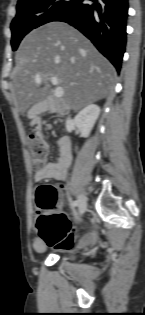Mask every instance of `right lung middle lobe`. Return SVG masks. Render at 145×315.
Listing matches in <instances>:
<instances>
[{
	"label": "right lung middle lobe",
	"instance_id": "1",
	"mask_svg": "<svg viewBox=\"0 0 145 315\" xmlns=\"http://www.w3.org/2000/svg\"><path fill=\"white\" fill-rule=\"evenodd\" d=\"M74 0H24L17 4V14L11 23V45L15 51L21 40L34 28L54 21Z\"/></svg>",
	"mask_w": 145,
	"mask_h": 315
}]
</instances>
